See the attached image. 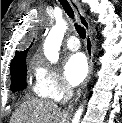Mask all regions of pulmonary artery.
I'll use <instances>...</instances> for the list:
<instances>
[{
  "label": "pulmonary artery",
  "instance_id": "1",
  "mask_svg": "<svg viewBox=\"0 0 122 123\" xmlns=\"http://www.w3.org/2000/svg\"><path fill=\"white\" fill-rule=\"evenodd\" d=\"M66 45H67V48L70 49V50H72V51H76L80 47L79 40L75 36L69 37L67 39Z\"/></svg>",
  "mask_w": 122,
  "mask_h": 123
}]
</instances>
